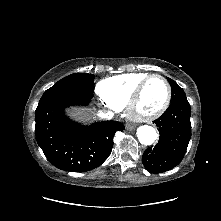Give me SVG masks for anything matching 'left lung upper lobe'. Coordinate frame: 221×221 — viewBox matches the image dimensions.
Segmentation results:
<instances>
[{
    "mask_svg": "<svg viewBox=\"0 0 221 221\" xmlns=\"http://www.w3.org/2000/svg\"><path fill=\"white\" fill-rule=\"evenodd\" d=\"M167 80L169 81L171 89H172V96H171L170 102L173 103L175 101L187 100L186 94L183 91V89L179 87L177 83L173 81L172 79L167 78Z\"/></svg>",
    "mask_w": 221,
    "mask_h": 221,
    "instance_id": "1",
    "label": "left lung upper lobe"
}]
</instances>
